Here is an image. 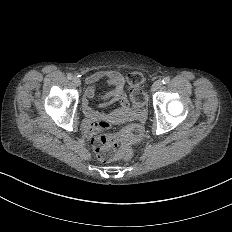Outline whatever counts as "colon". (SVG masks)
I'll return each instance as SVG.
<instances>
[{
	"label": "colon",
	"mask_w": 232,
	"mask_h": 232,
	"mask_svg": "<svg viewBox=\"0 0 232 232\" xmlns=\"http://www.w3.org/2000/svg\"><path fill=\"white\" fill-rule=\"evenodd\" d=\"M145 71H132L129 75V95H133V111L137 115H144L148 111V104L144 94L143 86L147 85L143 81ZM142 137V129L138 125H131L127 130H119L116 133L106 134L97 132L92 139V146L96 153V158L100 162H115L120 157V152L124 146L134 144Z\"/></svg>",
	"instance_id": "obj_1"
}]
</instances>
